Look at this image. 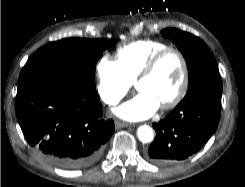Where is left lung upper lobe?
<instances>
[{"mask_svg": "<svg viewBox=\"0 0 245 187\" xmlns=\"http://www.w3.org/2000/svg\"><path fill=\"white\" fill-rule=\"evenodd\" d=\"M170 38L182 52L188 66V92L207 82L219 80L217 62L208 46L198 37L175 28L161 32Z\"/></svg>", "mask_w": 245, "mask_h": 187, "instance_id": "1", "label": "left lung upper lobe"}]
</instances>
